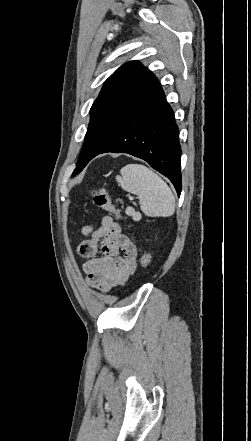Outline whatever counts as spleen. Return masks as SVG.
Wrapping results in <instances>:
<instances>
[{
	"instance_id": "spleen-1",
	"label": "spleen",
	"mask_w": 251,
	"mask_h": 441,
	"mask_svg": "<svg viewBox=\"0 0 251 441\" xmlns=\"http://www.w3.org/2000/svg\"><path fill=\"white\" fill-rule=\"evenodd\" d=\"M116 181L123 190L139 198L142 212L150 217H168L175 211V197L155 172L141 164H128L121 168Z\"/></svg>"
}]
</instances>
